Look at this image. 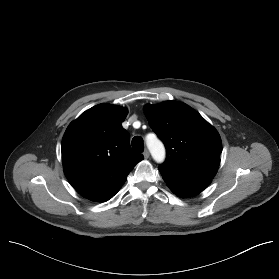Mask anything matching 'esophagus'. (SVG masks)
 Returning a JSON list of instances; mask_svg holds the SVG:
<instances>
[{
  "label": "esophagus",
  "instance_id": "obj_1",
  "mask_svg": "<svg viewBox=\"0 0 279 279\" xmlns=\"http://www.w3.org/2000/svg\"><path fill=\"white\" fill-rule=\"evenodd\" d=\"M143 155H144V158H145V159H148L149 156H150V153H149L148 150H145V151L143 152Z\"/></svg>",
  "mask_w": 279,
  "mask_h": 279
}]
</instances>
